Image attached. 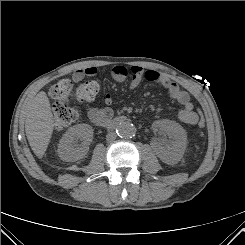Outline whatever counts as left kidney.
<instances>
[{"label": "left kidney", "mask_w": 245, "mask_h": 245, "mask_svg": "<svg viewBox=\"0 0 245 245\" xmlns=\"http://www.w3.org/2000/svg\"><path fill=\"white\" fill-rule=\"evenodd\" d=\"M154 126L172 138L170 143L165 138L156 143L155 147L159 158L166 163L178 162L182 158L187 144V136L183 127L169 120L157 121Z\"/></svg>", "instance_id": "1"}]
</instances>
